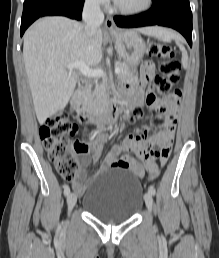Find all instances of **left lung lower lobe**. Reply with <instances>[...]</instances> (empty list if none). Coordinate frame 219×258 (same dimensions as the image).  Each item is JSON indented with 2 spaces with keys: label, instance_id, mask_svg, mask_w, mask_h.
Instances as JSON below:
<instances>
[{
  "label": "left lung lower lobe",
  "instance_id": "obj_1",
  "mask_svg": "<svg viewBox=\"0 0 219 258\" xmlns=\"http://www.w3.org/2000/svg\"><path fill=\"white\" fill-rule=\"evenodd\" d=\"M118 27L132 28L150 25L171 27L179 31L192 47V12L189 0H153L147 12L135 16H115Z\"/></svg>",
  "mask_w": 219,
  "mask_h": 258
}]
</instances>
